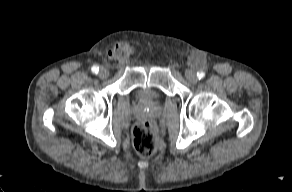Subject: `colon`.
<instances>
[{"label": "colon", "instance_id": "colon-1", "mask_svg": "<svg viewBox=\"0 0 292 192\" xmlns=\"http://www.w3.org/2000/svg\"><path fill=\"white\" fill-rule=\"evenodd\" d=\"M133 146L141 157H150L158 148V133L149 121L137 124L133 130Z\"/></svg>", "mask_w": 292, "mask_h": 192}]
</instances>
